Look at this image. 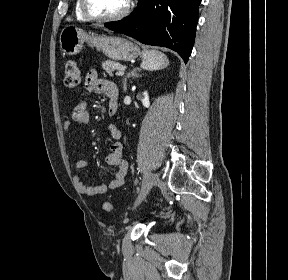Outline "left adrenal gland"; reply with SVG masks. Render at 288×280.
Wrapping results in <instances>:
<instances>
[{"label": "left adrenal gland", "instance_id": "1", "mask_svg": "<svg viewBox=\"0 0 288 280\" xmlns=\"http://www.w3.org/2000/svg\"><path fill=\"white\" fill-rule=\"evenodd\" d=\"M141 69L138 68V67H135L133 68L127 75L126 77L124 78L123 80V90L124 92L127 91V80L130 78V77H140V74L138 72H140Z\"/></svg>", "mask_w": 288, "mask_h": 280}]
</instances>
